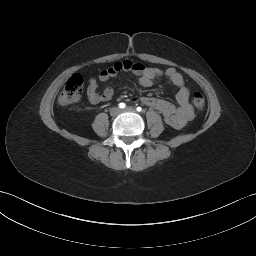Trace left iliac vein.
Listing matches in <instances>:
<instances>
[{"label": "left iliac vein", "instance_id": "4c4485c4", "mask_svg": "<svg viewBox=\"0 0 256 256\" xmlns=\"http://www.w3.org/2000/svg\"><path fill=\"white\" fill-rule=\"evenodd\" d=\"M122 112H135V109L133 107H127L123 109Z\"/></svg>", "mask_w": 256, "mask_h": 256}]
</instances>
